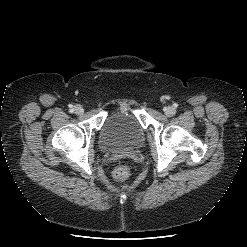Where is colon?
I'll list each match as a JSON object with an SVG mask.
<instances>
[{"label":"colon","instance_id":"1","mask_svg":"<svg viewBox=\"0 0 247 247\" xmlns=\"http://www.w3.org/2000/svg\"><path fill=\"white\" fill-rule=\"evenodd\" d=\"M130 173L129 166L127 164H119L113 171V177L118 182L125 181Z\"/></svg>","mask_w":247,"mask_h":247}]
</instances>
